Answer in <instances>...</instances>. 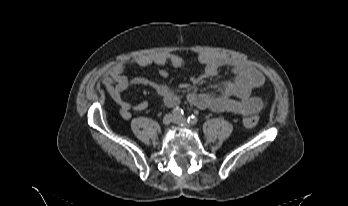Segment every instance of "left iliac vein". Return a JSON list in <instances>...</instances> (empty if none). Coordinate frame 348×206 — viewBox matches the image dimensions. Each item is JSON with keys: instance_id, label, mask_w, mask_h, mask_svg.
I'll list each match as a JSON object with an SVG mask.
<instances>
[{"instance_id": "obj_1", "label": "left iliac vein", "mask_w": 348, "mask_h": 206, "mask_svg": "<svg viewBox=\"0 0 348 206\" xmlns=\"http://www.w3.org/2000/svg\"><path fill=\"white\" fill-rule=\"evenodd\" d=\"M174 123L184 126V127H189L190 124L185 118H174Z\"/></svg>"}]
</instances>
